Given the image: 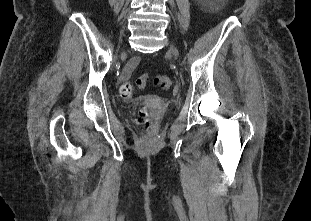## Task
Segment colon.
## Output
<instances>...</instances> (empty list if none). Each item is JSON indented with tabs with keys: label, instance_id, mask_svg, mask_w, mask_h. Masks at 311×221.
I'll return each instance as SVG.
<instances>
[{
	"label": "colon",
	"instance_id": "obj_1",
	"mask_svg": "<svg viewBox=\"0 0 311 221\" xmlns=\"http://www.w3.org/2000/svg\"><path fill=\"white\" fill-rule=\"evenodd\" d=\"M146 78L147 76H144L143 78H141V82L139 84L141 87L145 85ZM153 83L155 86L161 89L167 90V89H170L171 85L173 84V79L168 75H157L153 79ZM134 92H135V87L132 82L127 81L121 85L120 95L122 98L124 99L131 98ZM136 122L143 132L148 133L151 131L152 121L150 117L148 116V114L146 113L144 105H141V108L136 118Z\"/></svg>",
	"mask_w": 311,
	"mask_h": 221
}]
</instances>
